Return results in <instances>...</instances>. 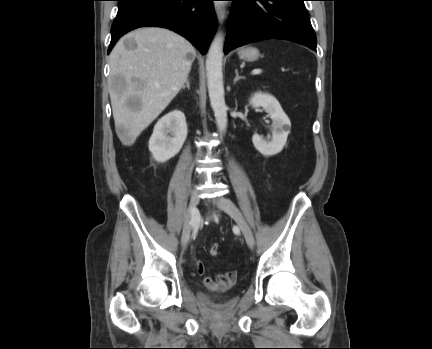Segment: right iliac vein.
<instances>
[{
    "mask_svg": "<svg viewBox=\"0 0 432 349\" xmlns=\"http://www.w3.org/2000/svg\"><path fill=\"white\" fill-rule=\"evenodd\" d=\"M199 194L194 191L190 198L189 207L184 221L181 244L183 247L186 246L190 239V234L193 226H197L199 223V212L197 210V205L199 203Z\"/></svg>",
    "mask_w": 432,
    "mask_h": 349,
    "instance_id": "1",
    "label": "right iliac vein"
}]
</instances>
